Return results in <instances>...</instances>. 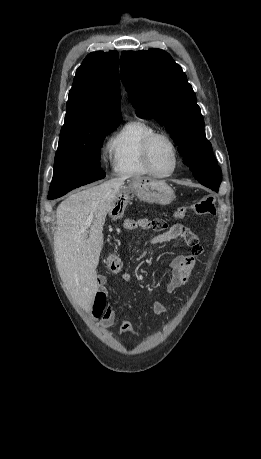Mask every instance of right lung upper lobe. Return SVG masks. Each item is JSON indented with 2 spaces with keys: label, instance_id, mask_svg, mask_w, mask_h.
Returning <instances> with one entry per match:
<instances>
[{
  "label": "right lung upper lobe",
  "instance_id": "right-lung-upper-lobe-1",
  "mask_svg": "<svg viewBox=\"0 0 261 459\" xmlns=\"http://www.w3.org/2000/svg\"><path fill=\"white\" fill-rule=\"evenodd\" d=\"M119 54L90 53L77 69L60 140L80 131L121 122Z\"/></svg>",
  "mask_w": 261,
  "mask_h": 459
}]
</instances>
